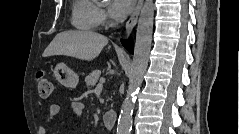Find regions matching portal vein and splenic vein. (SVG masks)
I'll list each match as a JSON object with an SVG mask.
<instances>
[{
    "label": "portal vein and splenic vein",
    "mask_w": 239,
    "mask_h": 134,
    "mask_svg": "<svg viewBox=\"0 0 239 134\" xmlns=\"http://www.w3.org/2000/svg\"><path fill=\"white\" fill-rule=\"evenodd\" d=\"M103 83H105V78L100 79V83L97 85V88H101L103 86Z\"/></svg>",
    "instance_id": "1"
}]
</instances>
